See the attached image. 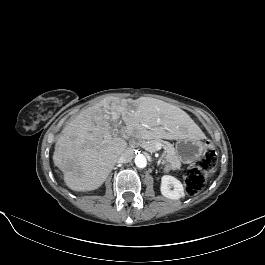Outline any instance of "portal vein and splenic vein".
Returning a JSON list of instances; mask_svg holds the SVG:
<instances>
[{
	"mask_svg": "<svg viewBox=\"0 0 265 265\" xmlns=\"http://www.w3.org/2000/svg\"><path fill=\"white\" fill-rule=\"evenodd\" d=\"M157 149L160 150L161 149V146L160 145H157Z\"/></svg>",
	"mask_w": 265,
	"mask_h": 265,
	"instance_id": "portal-vein-and-splenic-vein-1",
	"label": "portal vein and splenic vein"
}]
</instances>
